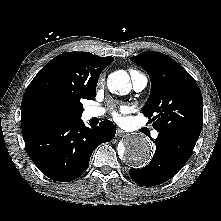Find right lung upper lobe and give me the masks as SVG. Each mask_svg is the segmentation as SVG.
<instances>
[{
	"label": "right lung upper lobe",
	"mask_w": 221,
	"mask_h": 221,
	"mask_svg": "<svg viewBox=\"0 0 221 221\" xmlns=\"http://www.w3.org/2000/svg\"><path fill=\"white\" fill-rule=\"evenodd\" d=\"M113 60L89 52H66L53 58L24 93L22 131L42 124L81 119V99L95 98L98 78Z\"/></svg>",
	"instance_id": "1"
}]
</instances>
